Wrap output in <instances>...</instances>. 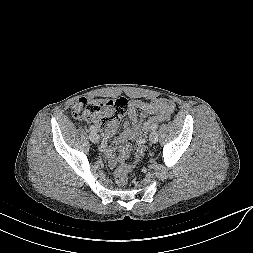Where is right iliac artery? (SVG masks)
I'll return each instance as SVG.
<instances>
[{
	"mask_svg": "<svg viewBox=\"0 0 253 253\" xmlns=\"http://www.w3.org/2000/svg\"><path fill=\"white\" fill-rule=\"evenodd\" d=\"M92 132H96L98 129L95 126H90L89 128Z\"/></svg>",
	"mask_w": 253,
	"mask_h": 253,
	"instance_id": "obj_1",
	"label": "right iliac artery"
}]
</instances>
